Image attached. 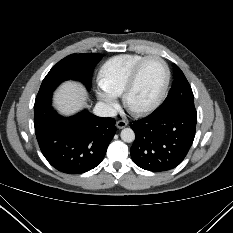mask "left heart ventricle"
I'll return each instance as SVG.
<instances>
[{"instance_id":"obj_1","label":"left heart ventricle","mask_w":233,"mask_h":233,"mask_svg":"<svg viewBox=\"0 0 233 233\" xmlns=\"http://www.w3.org/2000/svg\"><path fill=\"white\" fill-rule=\"evenodd\" d=\"M164 80V67L158 60L150 59L145 62L129 97L130 105L140 108L152 103L161 92Z\"/></svg>"}]
</instances>
